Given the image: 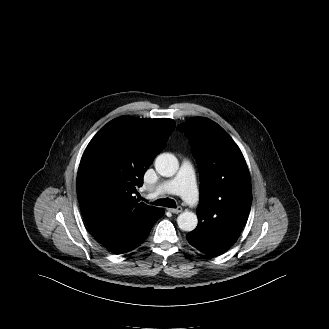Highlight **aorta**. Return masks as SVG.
<instances>
[{
  "mask_svg": "<svg viewBox=\"0 0 329 329\" xmlns=\"http://www.w3.org/2000/svg\"><path fill=\"white\" fill-rule=\"evenodd\" d=\"M156 171L164 177H172L179 168L178 159L171 153H162L155 159ZM177 224L183 231H193L198 224V218L195 213L184 211L177 217Z\"/></svg>",
  "mask_w": 329,
  "mask_h": 329,
  "instance_id": "obj_1",
  "label": "aorta"
}]
</instances>
